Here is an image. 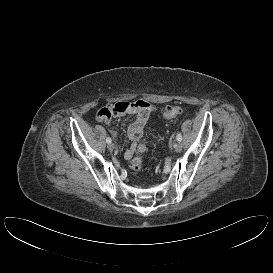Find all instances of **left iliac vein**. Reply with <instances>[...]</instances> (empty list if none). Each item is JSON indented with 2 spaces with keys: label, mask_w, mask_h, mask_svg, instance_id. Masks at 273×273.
<instances>
[{
  "label": "left iliac vein",
  "mask_w": 273,
  "mask_h": 273,
  "mask_svg": "<svg viewBox=\"0 0 273 273\" xmlns=\"http://www.w3.org/2000/svg\"><path fill=\"white\" fill-rule=\"evenodd\" d=\"M174 150L176 152H180L182 150V143L180 141H178L175 145H174Z\"/></svg>",
  "instance_id": "obj_1"
}]
</instances>
